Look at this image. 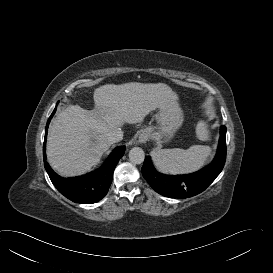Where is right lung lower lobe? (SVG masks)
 I'll list each match as a JSON object with an SVG mask.
<instances>
[{
  "instance_id": "obj_1",
  "label": "right lung lower lobe",
  "mask_w": 273,
  "mask_h": 273,
  "mask_svg": "<svg viewBox=\"0 0 273 273\" xmlns=\"http://www.w3.org/2000/svg\"><path fill=\"white\" fill-rule=\"evenodd\" d=\"M56 109H54L50 118L48 119L45 140L43 145V158L45 169L56 187V189L75 203L91 204L100 201L108 192L110 184L112 182V176L114 169L125 152V147H117L108 159L105 161L103 166L89 174L74 177V178H63L56 174L53 169L49 166L46 161V137L49 122L54 115Z\"/></svg>"
}]
</instances>
